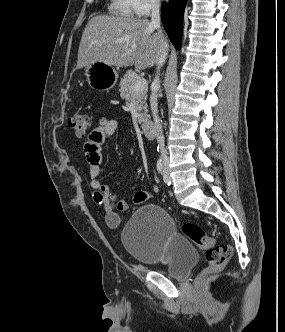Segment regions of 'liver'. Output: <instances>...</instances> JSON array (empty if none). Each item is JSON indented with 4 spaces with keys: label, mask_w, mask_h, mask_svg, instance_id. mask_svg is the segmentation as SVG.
I'll list each match as a JSON object with an SVG mask.
<instances>
[{
    "label": "liver",
    "mask_w": 285,
    "mask_h": 332,
    "mask_svg": "<svg viewBox=\"0 0 285 332\" xmlns=\"http://www.w3.org/2000/svg\"><path fill=\"white\" fill-rule=\"evenodd\" d=\"M148 19L95 16L86 25L78 49L77 69L94 62L145 69L157 63L162 37ZM165 39V38H164Z\"/></svg>",
    "instance_id": "liver-1"
}]
</instances>
